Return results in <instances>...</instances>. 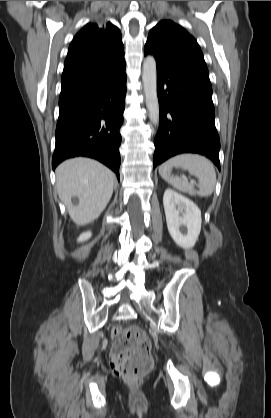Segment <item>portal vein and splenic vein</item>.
<instances>
[{
    "mask_svg": "<svg viewBox=\"0 0 271 418\" xmlns=\"http://www.w3.org/2000/svg\"><path fill=\"white\" fill-rule=\"evenodd\" d=\"M185 180H186V181H188V179H187V178H185ZM193 182H194V181H193V180H191V183H193Z\"/></svg>",
    "mask_w": 271,
    "mask_h": 418,
    "instance_id": "obj_1",
    "label": "portal vein and splenic vein"
}]
</instances>
